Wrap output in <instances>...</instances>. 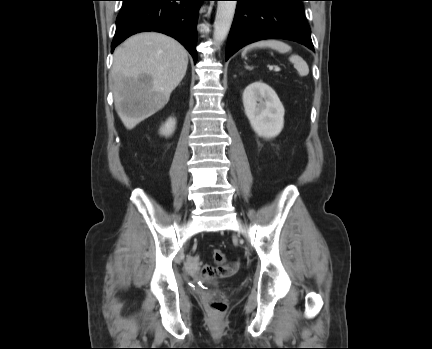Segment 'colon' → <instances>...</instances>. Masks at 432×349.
I'll use <instances>...</instances> for the list:
<instances>
[{
  "instance_id": "colon-1",
  "label": "colon",
  "mask_w": 432,
  "mask_h": 349,
  "mask_svg": "<svg viewBox=\"0 0 432 349\" xmlns=\"http://www.w3.org/2000/svg\"><path fill=\"white\" fill-rule=\"evenodd\" d=\"M214 262L222 267L226 263L224 253L219 249H214L212 252ZM210 306L216 313H222L226 309V300L220 296H213L210 301Z\"/></svg>"
}]
</instances>
